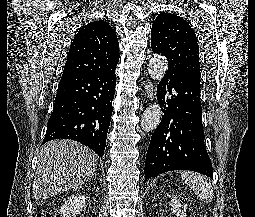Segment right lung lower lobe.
I'll return each instance as SVG.
<instances>
[{"label": "right lung lower lobe", "instance_id": "98d812e1", "mask_svg": "<svg viewBox=\"0 0 255 217\" xmlns=\"http://www.w3.org/2000/svg\"><path fill=\"white\" fill-rule=\"evenodd\" d=\"M115 85V69L104 73H63L43 144L53 139H71L103 156Z\"/></svg>", "mask_w": 255, "mask_h": 217}]
</instances>
